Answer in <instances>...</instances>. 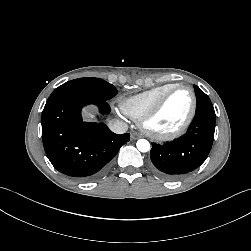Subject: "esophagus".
I'll use <instances>...</instances> for the list:
<instances>
[{"instance_id": "obj_1", "label": "esophagus", "mask_w": 251, "mask_h": 251, "mask_svg": "<svg viewBox=\"0 0 251 251\" xmlns=\"http://www.w3.org/2000/svg\"><path fill=\"white\" fill-rule=\"evenodd\" d=\"M139 138H141V135L139 133H137V132H132L131 133V139L132 140H137Z\"/></svg>"}]
</instances>
